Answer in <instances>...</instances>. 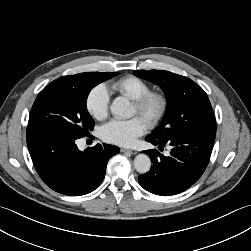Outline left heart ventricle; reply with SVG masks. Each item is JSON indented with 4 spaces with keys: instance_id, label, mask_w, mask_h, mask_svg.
I'll return each mask as SVG.
<instances>
[{
    "instance_id": "obj_1",
    "label": "left heart ventricle",
    "mask_w": 251,
    "mask_h": 251,
    "mask_svg": "<svg viewBox=\"0 0 251 251\" xmlns=\"http://www.w3.org/2000/svg\"><path fill=\"white\" fill-rule=\"evenodd\" d=\"M134 113H138L137 108L135 106H134Z\"/></svg>"
}]
</instances>
